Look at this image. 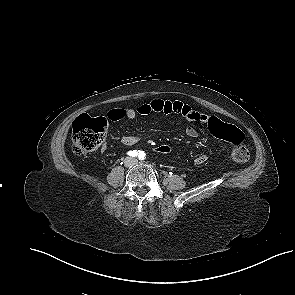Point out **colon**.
<instances>
[{"label":"colon","mask_w":295,"mask_h":295,"mask_svg":"<svg viewBox=\"0 0 295 295\" xmlns=\"http://www.w3.org/2000/svg\"><path fill=\"white\" fill-rule=\"evenodd\" d=\"M107 128L104 117H91L80 115L73 122L72 142L75 153L84 155L97 149L102 143ZM214 134L233 144L231 153L232 160L237 164H245L249 160V152L243 145L244 134L241 130L231 124L218 121L212 122ZM157 152L165 154L170 152L168 145H161Z\"/></svg>","instance_id":"obj_1"}]
</instances>
